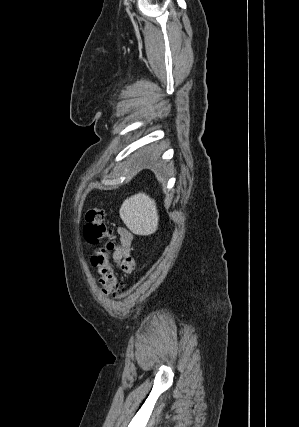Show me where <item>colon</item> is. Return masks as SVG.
Returning a JSON list of instances; mask_svg holds the SVG:
<instances>
[{"label":"colon","instance_id":"colon-1","mask_svg":"<svg viewBox=\"0 0 299 427\" xmlns=\"http://www.w3.org/2000/svg\"><path fill=\"white\" fill-rule=\"evenodd\" d=\"M84 236L88 243L98 245L106 240L105 248H99L92 256V263L98 270L99 284L105 295L117 297L124 291L123 280L116 276L109 261L108 253L115 249V235L105 219V211L99 206L92 207L86 212Z\"/></svg>","mask_w":299,"mask_h":427}]
</instances>
